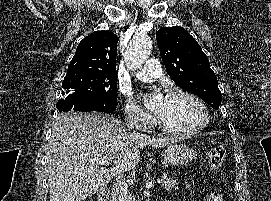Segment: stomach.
Wrapping results in <instances>:
<instances>
[{
  "label": "stomach",
  "instance_id": "stomach-1",
  "mask_svg": "<svg viewBox=\"0 0 271 201\" xmlns=\"http://www.w3.org/2000/svg\"><path fill=\"white\" fill-rule=\"evenodd\" d=\"M196 157V152L185 145H170L164 152V162L167 165L178 166L192 162Z\"/></svg>",
  "mask_w": 271,
  "mask_h": 201
}]
</instances>
